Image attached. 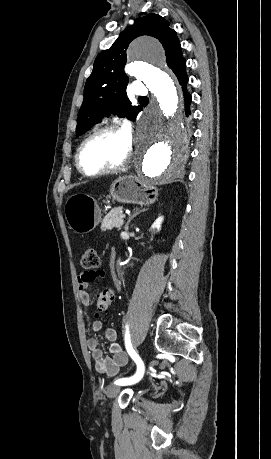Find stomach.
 I'll list each match as a JSON object with an SVG mask.
<instances>
[{"mask_svg": "<svg viewBox=\"0 0 271 459\" xmlns=\"http://www.w3.org/2000/svg\"><path fill=\"white\" fill-rule=\"evenodd\" d=\"M113 200L121 204H154L158 190L148 180L137 176H119L110 186ZM65 218L70 229L76 233H89L101 222V210L94 198L87 194H74L65 204Z\"/></svg>", "mask_w": 271, "mask_h": 459, "instance_id": "1", "label": "stomach"}]
</instances>
